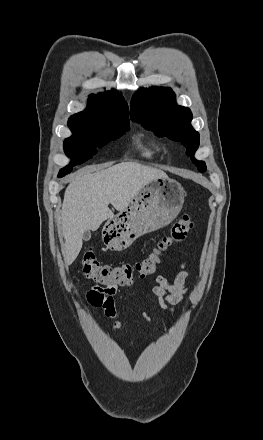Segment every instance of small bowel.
Listing matches in <instances>:
<instances>
[{
  "label": "small bowel",
  "instance_id": "c3829d8e",
  "mask_svg": "<svg viewBox=\"0 0 263 440\" xmlns=\"http://www.w3.org/2000/svg\"><path fill=\"white\" fill-rule=\"evenodd\" d=\"M187 277L188 272L184 265L179 268L172 283L164 276L156 277L152 293L162 309L172 311V305L183 301L188 292ZM116 292L117 288L92 286L85 294L86 300L91 306L103 308L105 315L113 321V329L120 327V322L116 320L118 308L114 298ZM146 319L150 320L147 316Z\"/></svg>",
  "mask_w": 263,
  "mask_h": 440
}]
</instances>
